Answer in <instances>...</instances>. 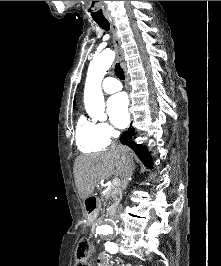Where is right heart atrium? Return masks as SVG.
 <instances>
[{
	"label": "right heart atrium",
	"instance_id": "obj_1",
	"mask_svg": "<svg viewBox=\"0 0 221 266\" xmlns=\"http://www.w3.org/2000/svg\"><path fill=\"white\" fill-rule=\"evenodd\" d=\"M99 127H100V131L102 135L108 140H110L116 134L115 129L108 123H105V122L100 123Z\"/></svg>",
	"mask_w": 221,
	"mask_h": 266
}]
</instances>
